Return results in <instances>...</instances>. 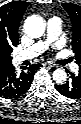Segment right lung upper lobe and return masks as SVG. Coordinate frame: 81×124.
<instances>
[{"mask_svg":"<svg viewBox=\"0 0 81 124\" xmlns=\"http://www.w3.org/2000/svg\"><path fill=\"white\" fill-rule=\"evenodd\" d=\"M28 6L25 1H13L0 7V70L10 67L13 48L18 45V28Z\"/></svg>","mask_w":81,"mask_h":124,"instance_id":"1","label":"right lung upper lobe"}]
</instances>
